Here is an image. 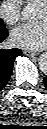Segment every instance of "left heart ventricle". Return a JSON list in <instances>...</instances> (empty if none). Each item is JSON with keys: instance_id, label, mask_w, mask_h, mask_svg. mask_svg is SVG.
Wrapping results in <instances>:
<instances>
[{"instance_id": "left-heart-ventricle-1", "label": "left heart ventricle", "mask_w": 47, "mask_h": 129, "mask_svg": "<svg viewBox=\"0 0 47 129\" xmlns=\"http://www.w3.org/2000/svg\"><path fill=\"white\" fill-rule=\"evenodd\" d=\"M40 19L41 20H45L46 19V10H45L44 7L41 8Z\"/></svg>"}]
</instances>
